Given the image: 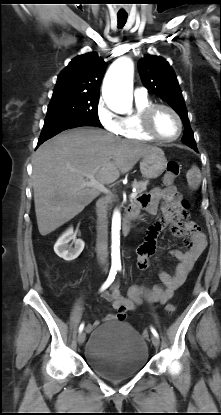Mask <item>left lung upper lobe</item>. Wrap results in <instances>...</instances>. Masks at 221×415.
<instances>
[{"label":"left lung upper lobe","instance_id":"left-lung-upper-lobe-1","mask_svg":"<svg viewBox=\"0 0 221 415\" xmlns=\"http://www.w3.org/2000/svg\"><path fill=\"white\" fill-rule=\"evenodd\" d=\"M138 69L143 85L181 117L185 127L182 142L189 147L196 146L182 92L169 63L162 57L147 55L138 61Z\"/></svg>","mask_w":221,"mask_h":415}]
</instances>
